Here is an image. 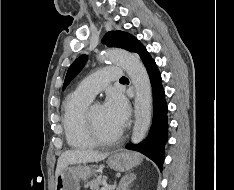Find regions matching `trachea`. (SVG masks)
<instances>
[{
	"label": "trachea",
	"mask_w": 234,
	"mask_h": 190,
	"mask_svg": "<svg viewBox=\"0 0 234 190\" xmlns=\"http://www.w3.org/2000/svg\"><path fill=\"white\" fill-rule=\"evenodd\" d=\"M127 78L126 77H122L120 80H126Z\"/></svg>",
	"instance_id": "obj_1"
}]
</instances>
